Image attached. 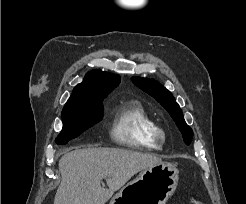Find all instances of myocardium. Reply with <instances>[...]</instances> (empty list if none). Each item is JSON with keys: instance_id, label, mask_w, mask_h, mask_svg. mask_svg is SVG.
Returning a JSON list of instances; mask_svg holds the SVG:
<instances>
[{"instance_id": "f54148a6", "label": "myocardium", "mask_w": 246, "mask_h": 204, "mask_svg": "<svg viewBox=\"0 0 246 204\" xmlns=\"http://www.w3.org/2000/svg\"><path fill=\"white\" fill-rule=\"evenodd\" d=\"M155 138L159 143H163L166 139V133L162 128H158L155 134Z\"/></svg>"}]
</instances>
